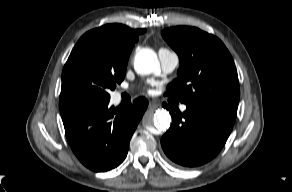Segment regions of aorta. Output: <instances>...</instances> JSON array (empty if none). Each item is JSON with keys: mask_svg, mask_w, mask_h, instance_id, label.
I'll return each mask as SVG.
<instances>
[{"mask_svg": "<svg viewBox=\"0 0 292 192\" xmlns=\"http://www.w3.org/2000/svg\"><path fill=\"white\" fill-rule=\"evenodd\" d=\"M134 68L138 74L147 75L159 70V61L156 53L151 49H142L134 59ZM148 130L164 131L169 128L171 116L168 111L159 109L152 117L143 120Z\"/></svg>", "mask_w": 292, "mask_h": 192, "instance_id": "aorta-1", "label": "aorta"}]
</instances>
